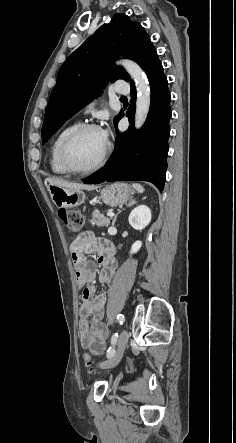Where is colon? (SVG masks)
<instances>
[{"label": "colon", "mask_w": 236, "mask_h": 443, "mask_svg": "<svg viewBox=\"0 0 236 443\" xmlns=\"http://www.w3.org/2000/svg\"><path fill=\"white\" fill-rule=\"evenodd\" d=\"M59 217L66 227L72 232H78L84 223V216L79 211L75 210H61L59 212ZM78 253H76L77 255ZM84 365L89 371H92V355L90 353H85Z\"/></svg>", "instance_id": "colon-1"}]
</instances>
